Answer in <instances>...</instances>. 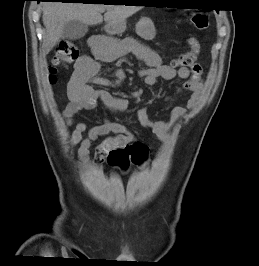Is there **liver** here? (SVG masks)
Wrapping results in <instances>:
<instances>
[{
	"instance_id": "6515ba94",
	"label": "liver",
	"mask_w": 259,
	"mask_h": 266,
	"mask_svg": "<svg viewBox=\"0 0 259 266\" xmlns=\"http://www.w3.org/2000/svg\"><path fill=\"white\" fill-rule=\"evenodd\" d=\"M141 9L140 6L103 5L83 3L47 2L43 5V24L46 29L43 52L49 53L62 36L64 25L72 20H78L87 25H97L106 22L109 26L125 21Z\"/></svg>"
}]
</instances>
